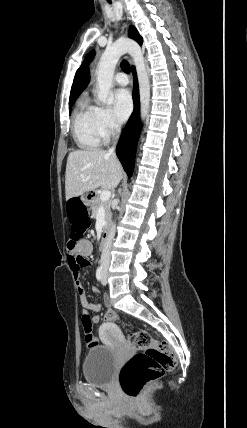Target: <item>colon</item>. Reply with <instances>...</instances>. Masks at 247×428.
<instances>
[{
	"label": "colon",
	"mask_w": 247,
	"mask_h": 428,
	"mask_svg": "<svg viewBox=\"0 0 247 428\" xmlns=\"http://www.w3.org/2000/svg\"><path fill=\"white\" fill-rule=\"evenodd\" d=\"M64 208L68 217L66 225L71 232L68 251L75 255L78 239H88V232L92 230V218L88 217V204H84L80 194H69L68 199H64ZM77 261L79 267L89 264L83 258H77ZM103 315L105 322L109 324H114L117 320V313L113 310L106 309ZM82 325L86 344L96 345L97 339L92 332L91 320L88 317H82ZM129 344L140 351L125 363L119 381L123 392L130 398H136L146 384L173 370L177 366V358L167 342L154 340L145 330L131 334Z\"/></svg>",
	"instance_id": "obj_1"
}]
</instances>
